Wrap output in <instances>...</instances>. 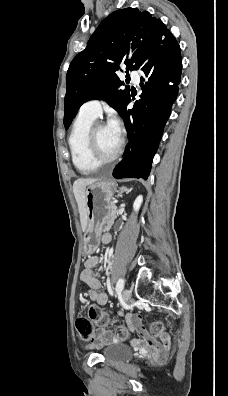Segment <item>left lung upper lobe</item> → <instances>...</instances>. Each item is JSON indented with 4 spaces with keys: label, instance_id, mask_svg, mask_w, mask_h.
Returning a JSON list of instances; mask_svg holds the SVG:
<instances>
[{
    "label": "left lung upper lobe",
    "instance_id": "5c2ea615",
    "mask_svg": "<svg viewBox=\"0 0 228 396\" xmlns=\"http://www.w3.org/2000/svg\"><path fill=\"white\" fill-rule=\"evenodd\" d=\"M167 31L160 19L137 8L117 10L105 18L87 47L70 63L64 100L65 128L68 129L79 107L93 99L106 101L121 115L130 90L119 89L124 83L115 71L121 62L127 64L126 72L141 68L151 42ZM130 48L135 52L128 59Z\"/></svg>",
    "mask_w": 228,
    "mask_h": 396
}]
</instances>
